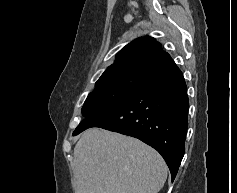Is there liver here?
<instances>
[{
	"mask_svg": "<svg viewBox=\"0 0 237 193\" xmlns=\"http://www.w3.org/2000/svg\"><path fill=\"white\" fill-rule=\"evenodd\" d=\"M73 155L75 193H158L167 179L156 150L119 133L91 128Z\"/></svg>",
	"mask_w": 237,
	"mask_h": 193,
	"instance_id": "6515ba94",
	"label": "liver"
}]
</instances>
